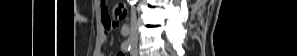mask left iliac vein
Listing matches in <instances>:
<instances>
[{"instance_id":"obj_1","label":"left iliac vein","mask_w":297,"mask_h":56,"mask_svg":"<svg viewBox=\"0 0 297 56\" xmlns=\"http://www.w3.org/2000/svg\"><path fill=\"white\" fill-rule=\"evenodd\" d=\"M131 55L132 56L137 55V44L136 43H132Z\"/></svg>"}]
</instances>
